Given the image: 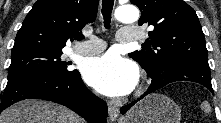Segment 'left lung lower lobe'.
Here are the masks:
<instances>
[{
    "label": "left lung lower lobe",
    "instance_id": "obj_1",
    "mask_svg": "<svg viewBox=\"0 0 221 123\" xmlns=\"http://www.w3.org/2000/svg\"><path fill=\"white\" fill-rule=\"evenodd\" d=\"M151 78L153 79L151 85L138 100L171 82L182 80L197 82L213 93L209 65L196 62H181L163 68L158 74ZM137 101L123 106L120 112L125 114Z\"/></svg>",
    "mask_w": 221,
    "mask_h": 123
}]
</instances>
